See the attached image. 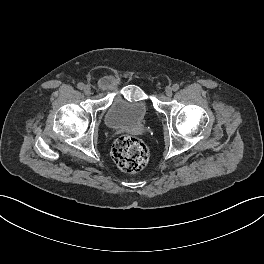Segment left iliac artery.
<instances>
[{
    "label": "left iliac artery",
    "instance_id": "obj_1",
    "mask_svg": "<svg viewBox=\"0 0 264 264\" xmlns=\"http://www.w3.org/2000/svg\"><path fill=\"white\" fill-rule=\"evenodd\" d=\"M172 89H173V91H177V90H179V85H178V84H174V85L172 86Z\"/></svg>",
    "mask_w": 264,
    "mask_h": 264
}]
</instances>
